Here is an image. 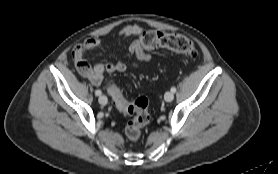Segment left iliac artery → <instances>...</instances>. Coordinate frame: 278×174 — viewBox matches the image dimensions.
<instances>
[{
    "mask_svg": "<svg viewBox=\"0 0 278 174\" xmlns=\"http://www.w3.org/2000/svg\"><path fill=\"white\" fill-rule=\"evenodd\" d=\"M171 92H172V93H175V92H176V88H175V87H172V88H171Z\"/></svg>",
    "mask_w": 278,
    "mask_h": 174,
    "instance_id": "44dca946",
    "label": "left iliac artery"
}]
</instances>
